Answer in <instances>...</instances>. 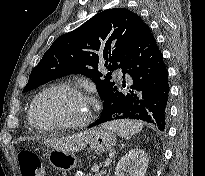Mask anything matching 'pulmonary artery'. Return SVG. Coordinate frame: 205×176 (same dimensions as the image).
<instances>
[{"label":"pulmonary artery","mask_w":205,"mask_h":176,"mask_svg":"<svg viewBox=\"0 0 205 176\" xmlns=\"http://www.w3.org/2000/svg\"><path fill=\"white\" fill-rule=\"evenodd\" d=\"M124 74L119 70L118 72H117V77L120 79V78H122V76H123Z\"/></svg>","instance_id":"e3ab8cb5"}]
</instances>
